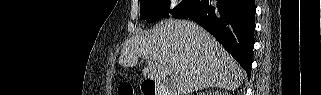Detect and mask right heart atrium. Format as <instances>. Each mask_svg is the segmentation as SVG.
Listing matches in <instances>:
<instances>
[{
    "label": "right heart atrium",
    "mask_w": 321,
    "mask_h": 95,
    "mask_svg": "<svg viewBox=\"0 0 321 95\" xmlns=\"http://www.w3.org/2000/svg\"><path fill=\"white\" fill-rule=\"evenodd\" d=\"M179 9H180L179 4H178L177 2H174V3H172V4L169 6V8H168V14H169V15H173V14H175L176 12H178Z\"/></svg>",
    "instance_id": "right-heart-atrium-1"
}]
</instances>
